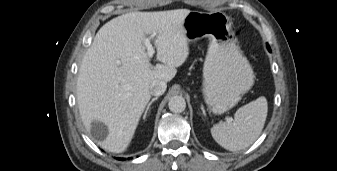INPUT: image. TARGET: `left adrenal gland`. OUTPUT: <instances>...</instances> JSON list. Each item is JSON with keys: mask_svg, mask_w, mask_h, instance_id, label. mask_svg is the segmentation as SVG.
Listing matches in <instances>:
<instances>
[{"mask_svg": "<svg viewBox=\"0 0 337 171\" xmlns=\"http://www.w3.org/2000/svg\"><path fill=\"white\" fill-rule=\"evenodd\" d=\"M201 110L203 111V114L205 115V110H204L203 106H201Z\"/></svg>", "mask_w": 337, "mask_h": 171, "instance_id": "a2214340", "label": "left adrenal gland"}]
</instances>
